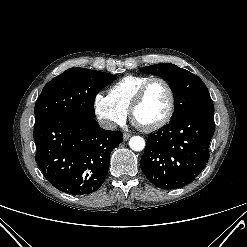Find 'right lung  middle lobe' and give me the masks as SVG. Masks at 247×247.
<instances>
[{"label":"right lung middle lobe","instance_id":"right-lung-middle-lobe-1","mask_svg":"<svg viewBox=\"0 0 247 247\" xmlns=\"http://www.w3.org/2000/svg\"><path fill=\"white\" fill-rule=\"evenodd\" d=\"M115 80L109 73L70 68L43 88L35 104V122L56 115L94 118L98 91Z\"/></svg>","mask_w":247,"mask_h":247}]
</instances>
